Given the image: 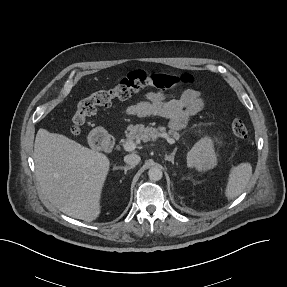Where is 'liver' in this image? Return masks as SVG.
<instances>
[{"label":"liver","mask_w":287,"mask_h":287,"mask_svg":"<svg viewBox=\"0 0 287 287\" xmlns=\"http://www.w3.org/2000/svg\"><path fill=\"white\" fill-rule=\"evenodd\" d=\"M33 158L44 197L61 212L92 222L101 213L109 158L62 134L39 129Z\"/></svg>","instance_id":"6515ba94"}]
</instances>
